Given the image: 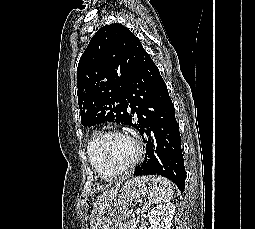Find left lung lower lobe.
Returning a JSON list of instances; mask_svg holds the SVG:
<instances>
[{
    "instance_id": "1",
    "label": "left lung lower lobe",
    "mask_w": 255,
    "mask_h": 229,
    "mask_svg": "<svg viewBox=\"0 0 255 229\" xmlns=\"http://www.w3.org/2000/svg\"><path fill=\"white\" fill-rule=\"evenodd\" d=\"M128 112L127 125L134 127L146 143L143 163L134 175H160L172 180L181 193L185 167L179 126L167 86L159 70L144 50L123 93ZM136 113V123H133Z\"/></svg>"
}]
</instances>
